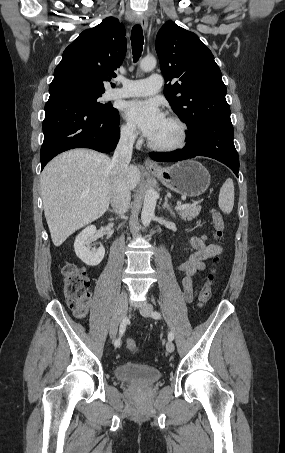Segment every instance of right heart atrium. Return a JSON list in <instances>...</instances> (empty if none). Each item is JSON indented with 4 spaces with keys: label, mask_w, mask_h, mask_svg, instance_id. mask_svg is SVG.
<instances>
[{
    "label": "right heart atrium",
    "mask_w": 285,
    "mask_h": 453,
    "mask_svg": "<svg viewBox=\"0 0 285 453\" xmlns=\"http://www.w3.org/2000/svg\"><path fill=\"white\" fill-rule=\"evenodd\" d=\"M120 135L124 142L133 143L137 139V130L135 126L129 122H125L121 125Z\"/></svg>",
    "instance_id": "1"
}]
</instances>
